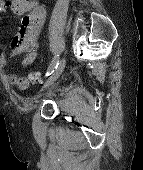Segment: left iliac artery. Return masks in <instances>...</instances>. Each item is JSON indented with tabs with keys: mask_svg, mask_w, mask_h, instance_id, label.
I'll list each match as a JSON object with an SVG mask.
<instances>
[{
	"mask_svg": "<svg viewBox=\"0 0 143 170\" xmlns=\"http://www.w3.org/2000/svg\"><path fill=\"white\" fill-rule=\"evenodd\" d=\"M57 67H58V56H55L47 70L46 76L51 75Z\"/></svg>",
	"mask_w": 143,
	"mask_h": 170,
	"instance_id": "44dca946",
	"label": "left iliac artery"
}]
</instances>
